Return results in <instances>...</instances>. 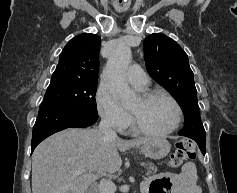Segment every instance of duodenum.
Masks as SVG:
<instances>
[{
    "label": "duodenum",
    "instance_id": "410a0bca",
    "mask_svg": "<svg viewBox=\"0 0 237 193\" xmlns=\"http://www.w3.org/2000/svg\"><path fill=\"white\" fill-rule=\"evenodd\" d=\"M88 193H96V190L95 189L89 190Z\"/></svg>",
    "mask_w": 237,
    "mask_h": 193
}]
</instances>
